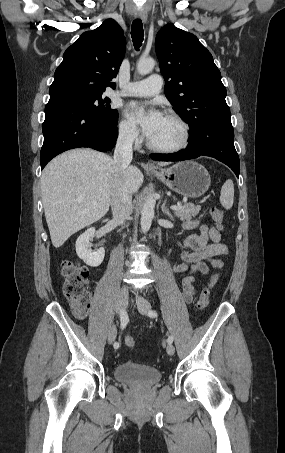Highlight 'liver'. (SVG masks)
<instances>
[{
    "instance_id": "1",
    "label": "liver",
    "mask_w": 285,
    "mask_h": 453,
    "mask_svg": "<svg viewBox=\"0 0 285 453\" xmlns=\"http://www.w3.org/2000/svg\"><path fill=\"white\" fill-rule=\"evenodd\" d=\"M168 164L159 163L160 166ZM118 178L131 194L138 191L144 180L137 166L119 170L110 156L92 149L67 151L44 168L42 201L55 248L108 212L113 184Z\"/></svg>"
}]
</instances>
